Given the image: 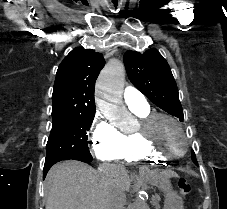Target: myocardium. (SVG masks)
I'll return each mask as SVG.
<instances>
[{"label": "myocardium", "instance_id": "f54148a6", "mask_svg": "<svg viewBox=\"0 0 227 209\" xmlns=\"http://www.w3.org/2000/svg\"><path fill=\"white\" fill-rule=\"evenodd\" d=\"M159 119H167L174 123L176 127L180 130V132L184 135L186 143L184 149L179 153H164L159 147H157L153 141L149 137V131L152 128V126L155 124V122ZM136 136L138 140L142 143V145L146 148L148 152L151 154H154L162 159H174L184 156L190 145V139L189 136L182 125V123L174 117L173 115L163 113V112H150L148 115H146L144 118L140 119V125L138 130L136 131Z\"/></svg>", "mask_w": 227, "mask_h": 209}]
</instances>
